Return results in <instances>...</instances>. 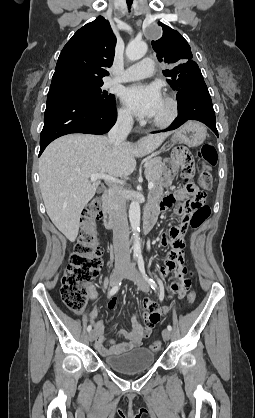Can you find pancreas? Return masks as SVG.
Masks as SVG:
<instances>
[{
  "label": "pancreas",
  "instance_id": "1",
  "mask_svg": "<svg viewBox=\"0 0 255 418\" xmlns=\"http://www.w3.org/2000/svg\"><path fill=\"white\" fill-rule=\"evenodd\" d=\"M163 171V164L161 157H154L148 159L145 163V176L147 180L152 181L154 187H158V183Z\"/></svg>",
  "mask_w": 255,
  "mask_h": 418
}]
</instances>
